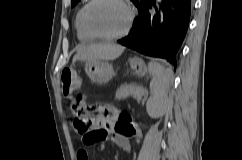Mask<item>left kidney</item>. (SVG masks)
Returning <instances> with one entry per match:
<instances>
[{"instance_id":"1","label":"left kidney","mask_w":242,"mask_h":160,"mask_svg":"<svg viewBox=\"0 0 242 160\" xmlns=\"http://www.w3.org/2000/svg\"><path fill=\"white\" fill-rule=\"evenodd\" d=\"M146 110L151 118H159L164 114L165 108L163 105L154 101V99H149L146 104Z\"/></svg>"}]
</instances>
